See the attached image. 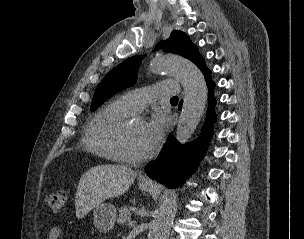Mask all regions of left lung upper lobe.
<instances>
[{"label": "left lung upper lobe", "mask_w": 304, "mask_h": 239, "mask_svg": "<svg viewBox=\"0 0 304 239\" xmlns=\"http://www.w3.org/2000/svg\"><path fill=\"white\" fill-rule=\"evenodd\" d=\"M165 52L179 54L197 66L204 59L191 42L189 37L182 31H173L170 37L161 43ZM142 56H133L111 70L98 85L91 104V111L96 110L106 99L117 92L133 85L136 82V71L140 66Z\"/></svg>", "instance_id": "left-lung-upper-lobe-1"}]
</instances>
